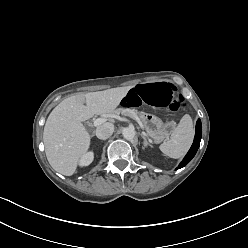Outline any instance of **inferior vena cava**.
<instances>
[{
    "mask_svg": "<svg viewBox=\"0 0 248 248\" xmlns=\"http://www.w3.org/2000/svg\"><path fill=\"white\" fill-rule=\"evenodd\" d=\"M114 132V125L112 123H105L96 129V136L101 140L108 139Z\"/></svg>",
    "mask_w": 248,
    "mask_h": 248,
    "instance_id": "602c4592",
    "label": "inferior vena cava"
}]
</instances>
